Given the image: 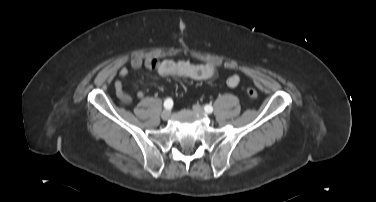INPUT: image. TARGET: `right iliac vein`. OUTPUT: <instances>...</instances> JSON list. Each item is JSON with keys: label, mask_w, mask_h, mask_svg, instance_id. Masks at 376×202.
<instances>
[{"label": "right iliac vein", "mask_w": 376, "mask_h": 202, "mask_svg": "<svg viewBox=\"0 0 376 202\" xmlns=\"http://www.w3.org/2000/svg\"><path fill=\"white\" fill-rule=\"evenodd\" d=\"M170 114H171L170 110H169V109H166V110H164V111L161 113V118H162L163 120H167V119H169Z\"/></svg>", "instance_id": "63e3f726"}]
</instances>
